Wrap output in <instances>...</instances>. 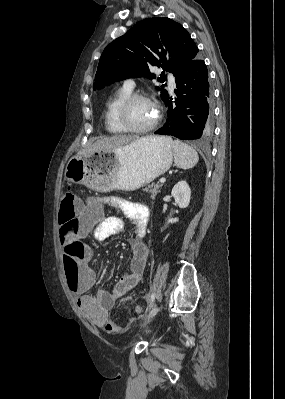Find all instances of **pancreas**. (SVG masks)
<instances>
[{
  "label": "pancreas",
  "mask_w": 285,
  "mask_h": 399,
  "mask_svg": "<svg viewBox=\"0 0 285 399\" xmlns=\"http://www.w3.org/2000/svg\"><path fill=\"white\" fill-rule=\"evenodd\" d=\"M161 186H162V185H160V184H158V183H157V184L152 183V184L149 185L148 187L143 188V191L149 192V193L151 194V198L154 199L155 196H156L157 193H158V189H159Z\"/></svg>",
  "instance_id": "cf45deb5"
}]
</instances>
